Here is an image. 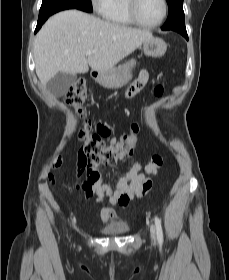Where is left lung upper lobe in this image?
<instances>
[{"label": "left lung upper lobe", "mask_w": 229, "mask_h": 280, "mask_svg": "<svg viewBox=\"0 0 229 280\" xmlns=\"http://www.w3.org/2000/svg\"><path fill=\"white\" fill-rule=\"evenodd\" d=\"M167 3L169 6V13L162 30H173L175 28L185 27L183 0H167Z\"/></svg>", "instance_id": "left-lung-upper-lobe-1"}]
</instances>
